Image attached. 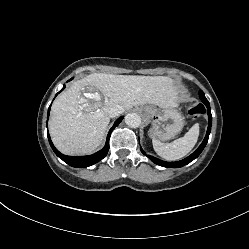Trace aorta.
I'll list each match as a JSON object with an SVG mask.
<instances>
[{
	"label": "aorta",
	"instance_id": "1",
	"mask_svg": "<svg viewBox=\"0 0 249 249\" xmlns=\"http://www.w3.org/2000/svg\"><path fill=\"white\" fill-rule=\"evenodd\" d=\"M125 123L131 128H137L141 125V117L137 113H128L125 116Z\"/></svg>",
	"mask_w": 249,
	"mask_h": 249
}]
</instances>
